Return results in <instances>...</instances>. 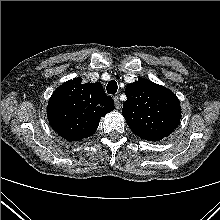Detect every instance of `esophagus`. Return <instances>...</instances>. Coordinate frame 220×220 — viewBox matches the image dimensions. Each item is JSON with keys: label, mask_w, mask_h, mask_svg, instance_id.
<instances>
[{"label": "esophagus", "mask_w": 220, "mask_h": 220, "mask_svg": "<svg viewBox=\"0 0 220 220\" xmlns=\"http://www.w3.org/2000/svg\"><path fill=\"white\" fill-rule=\"evenodd\" d=\"M113 99H114L116 109H120L121 108V102L119 100V97L115 96Z\"/></svg>", "instance_id": "1"}]
</instances>
